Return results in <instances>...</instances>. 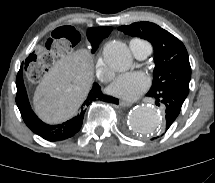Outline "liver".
I'll return each mask as SVG.
<instances>
[{
	"label": "liver",
	"instance_id": "obj_1",
	"mask_svg": "<svg viewBox=\"0 0 215 183\" xmlns=\"http://www.w3.org/2000/svg\"><path fill=\"white\" fill-rule=\"evenodd\" d=\"M94 80L90 52L80 49L56 61L36 87L33 104L45 122L70 119L86 99Z\"/></svg>",
	"mask_w": 215,
	"mask_h": 183
}]
</instances>
